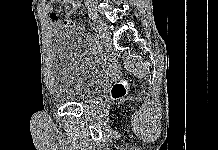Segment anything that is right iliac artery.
Returning <instances> with one entry per match:
<instances>
[{
    "mask_svg": "<svg viewBox=\"0 0 218 150\" xmlns=\"http://www.w3.org/2000/svg\"><path fill=\"white\" fill-rule=\"evenodd\" d=\"M90 31H92V36L90 37L92 40L97 38V28L95 26H90Z\"/></svg>",
    "mask_w": 218,
    "mask_h": 150,
    "instance_id": "right-iliac-artery-1",
    "label": "right iliac artery"
}]
</instances>
